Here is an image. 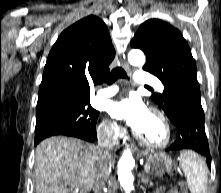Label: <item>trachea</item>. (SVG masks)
Instances as JSON below:
<instances>
[{
    "mask_svg": "<svg viewBox=\"0 0 221 193\" xmlns=\"http://www.w3.org/2000/svg\"><path fill=\"white\" fill-rule=\"evenodd\" d=\"M119 78H127L125 70L121 67H116L112 70L109 76L104 80H99L97 83L106 82L107 84H113ZM147 87V86H146ZM150 88V87H147Z\"/></svg>",
    "mask_w": 221,
    "mask_h": 193,
    "instance_id": "obj_1",
    "label": "trachea"
}]
</instances>
